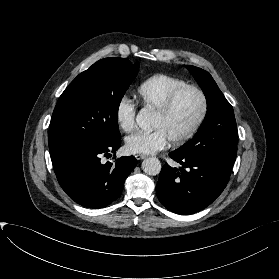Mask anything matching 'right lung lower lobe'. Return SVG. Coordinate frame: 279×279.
Instances as JSON below:
<instances>
[{
  "label": "right lung lower lobe",
  "mask_w": 279,
  "mask_h": 279,
  "mask_svg": "<svg viewBox=\"0 0 279 279\" xmlns=\"http://www.w3.org/2000/svg\"><path fill=\"white\" fill-rule=\"evenodd\" d=\"M120 145L121 136L93 148H76L51 157L57 180L66 194L93 209L104 208L118 199L137 160L129 156L102 164L100 157L115 153Z\"/></svg>",
  "instance_id": "98d812e1"
}]
</instances>
